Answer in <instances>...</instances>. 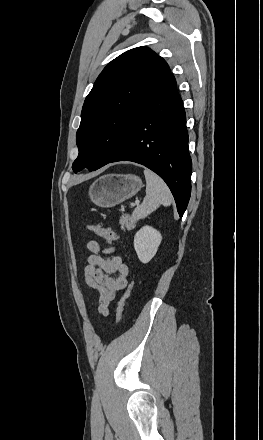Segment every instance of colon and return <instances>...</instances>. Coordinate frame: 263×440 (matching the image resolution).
<instances>
[{
  "label": "colon",
  "mask_w": 263,
  "mask_h": 440,
  "mask_svg": "<svg viewBox=\"0 0 263 440\" xmlns=\"http://www.w3.org/2000/svg\"><path fill=\"white\" fill-rule=\"evenodd\" d=\"M87 228L92 231L93 233L97 234L98 236L102 237L103 239H105L107 242L109 243H113L117 240V236L110 231L108 228L104 227L101 224L98 223H90L87 225ZM130 291H131V287H129L125 293L123 294V296L121 297L120 301H119V315L120 318H122L124 311H125V307L128 301V298L130 296Z\"/></svg>",
  "instance_id": "colon-1"
}]
</instances>
